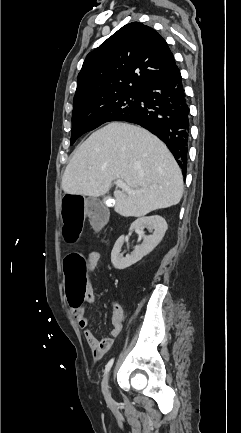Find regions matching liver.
Listing matches in <instances>:
<instances>
[{"label": "liver", "instance_id": "6515ba94", "mask_svg": "<svg viewBox=\"0 0 241 433\" xmlns=\"http://www.w3.org/2000/svg\"><path fill=\"white\" fill-rule=\"evenodd\" d=\"M121 179L134 194L114 191L116 213L141 217L178 204L181 170L166 145L142 127L113 122L95 131L75 151L62 177L67 194L98 197Z\"/></svg>", "mask_w": 241, "mask_h": 433}]
</instances>
